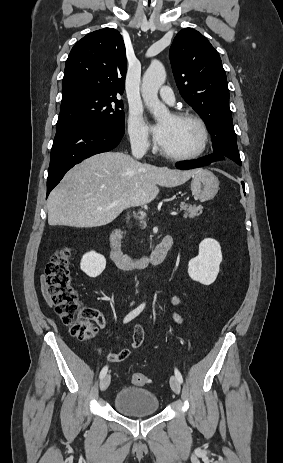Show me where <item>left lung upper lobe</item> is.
Returning a JSON list of instances; mask_svg holds the SVG:
<instances>
[{"label": "left lung upper lobe", "mask_w": 283, "mask_h": 463, "mask_svg": "<svg viewBox=\"0 0 283 463\" xmlns=\"http://www.w3.org/2000/svg\"><path fill=\"white\" fill-rule=\"evenodd\" d=\"M169 57L181 96L211 132L213 152L241 165L226 73L218 52L201 33L185 28L174 38Z\"/></svg>", "instance_id": "left-lung-upper-lobe-1"}]
</instances>
